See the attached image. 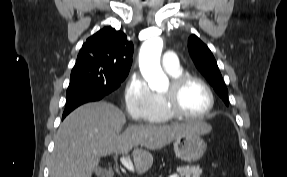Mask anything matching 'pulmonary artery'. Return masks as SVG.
<instances>
[{"mask_svg":"<svg viewBox=\"0 0 287 177\" xmlns=\"http://www.w3.org/2000/svg\"><path fill=\"white\" fill-rule=\"evenodd\" d=\"M162 65L166 71H176L179 69V61L174 51L168 50L162 58Z\"/></svg>","mask_w":287,"mask_h":177,"instance_id":"obj_1","label":"pulmonary artery"}]
</instances>
